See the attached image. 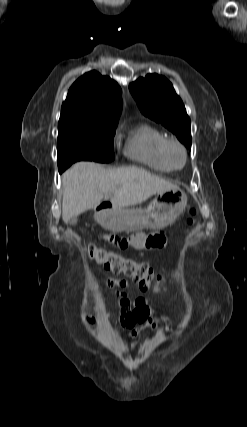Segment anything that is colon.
<instances>
[{
  "instance_id": "obj_1",
  "label": "colon",
  "mask_w": 247,
  "mask_h": 427,
  "mask_svg": "<svg viewBox=\"0 0 247 427\" xmlns=\"http://www.w3.org/2000/svg\"><path fill=\"white\" fill-rule=\"evenodd\" d=\"M194 214L195 211L192 210L191 217L187 220L188 226L192 225ZM85 250L92 260L102 265L106 270L131 277L143 291L159 292L164 289L162 277L156 274L148 263L125 258L119 253L94 244L87 245Z\"/></svg>"
}]
</instances>
